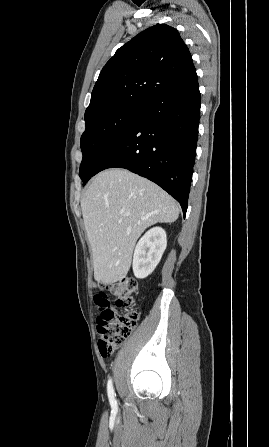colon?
Wrapping results in <instances>:
<instances>
[{"mask_svg": "<svg viewBox=\"0 0 269 447\" xmlns=\"http://www.w3.org/2000/svg\"><path fill=\"white\" fill-rule=\"evenodd\" d=\"M114 297V305L103 294L93 296L99 309L96 318L98 350L103 357L110 356L132 335L139 324V315L133 310L134 295L138 291L135 278L127 276L108 286Z\"/></svg>", "mask_w": 269, "mask_h": 447, "instance_id": "5ec220e1", "label": "colon"}]
</instances>
